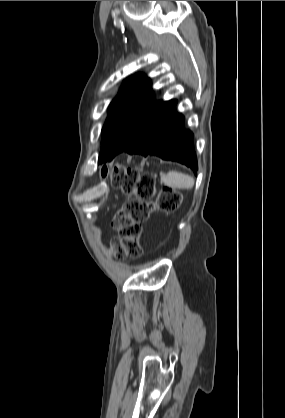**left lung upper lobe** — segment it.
Instances as JSON below:
<instances>
[{
	"instance_id": "obj_1",
	"label": "left lung upper lobe",
	"mask_w": 285,
	"mask_h": 418,
	"mask_svg": "<svg viewBox=\"0 0 285 418\" xmlns=\"http://www.w3.org/2000/svg\"><path fill=\"white\" fill-rule=\"evenodd\" d=\"M161 103L154 101L148 77L137 75L128 78L109 106V114L102 128L100 152L107 150L108 154L106 157L99 156L98 163L111 161L124 151Z\"/></svg>"
}]
</instances>
